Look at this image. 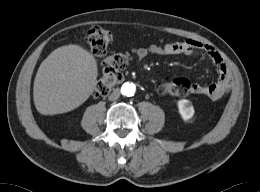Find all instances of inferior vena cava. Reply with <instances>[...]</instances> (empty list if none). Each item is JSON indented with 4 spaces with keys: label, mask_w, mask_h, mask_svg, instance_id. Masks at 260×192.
I'll list each match as a JSON object with an SVG mask.
<instances>
[{
    "label": "inferior vena cava",
    "mask_w": 260,
    "mask_h": 192,
    "mask_svg": "<svg viewBox=\"0 0 260 192\" xmlns=\"http://www.w3.org/2000/svg\"><path fill=\"white\" fill-rule=\"evenodd\" d=\"M119 96H120V91L118 90V89H115V90H113V92L110 94V96H109V100L110 101H115V100H117L118 98H119Z\"/></svg>",
    "instance_id": "1"
}]
</instances>
